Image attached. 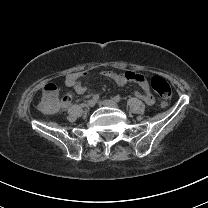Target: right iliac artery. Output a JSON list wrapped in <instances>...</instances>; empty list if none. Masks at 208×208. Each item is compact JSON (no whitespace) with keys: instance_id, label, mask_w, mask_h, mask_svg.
<instances>
[{"instance_id":"1","label":"right iliac artery","mask_w":208,"mask_h":208,"mask_svg":"<svg viewBox=\"0 0 208 208\" xmlns=\"http://www.w3.org/2000/svg\"><path fill=\"white\" fill-rule=\"evenodd\" d=\"M98 99H99V95L98 94L93 95V100L97 101Z\"/></svg>"}]
</instances>
